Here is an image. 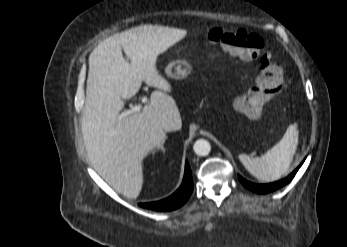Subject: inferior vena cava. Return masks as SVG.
<instances>
[{"mask_svg": "<svg viewBox=\"0 0 347 247\" xmlns=\"http://www.w3.org/2000/svg\"><path fill=\"white\" fill-rule=\"evenodd\" d=\"M161 127L164 131L169 132L174 131L176 129V124L173 120L166 119L162 121Z\"/></svg>", "mask_w": 347, "mask_h": 247, "instance_id": "602c4592", "label": "inferior vena cava"}]
</instances>
